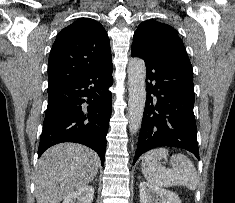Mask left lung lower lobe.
Segmentation results:
<instances>
[{
    "instance_id": "obj_1",
    "label": "left lung lower lobe",
    "mask_w": 235,
    "mask_h": 203,
    "mask_svg": "<svg viewBox=\"0 0 235 203\" xmlns=\"http://www.w3.org/2000/svg\"><path fill=\"white\" fill-rule=\"evenodd\" d=\"M131 54L144 59L147 70V99L133 164L141 154L160 146L183 148L199 159L193 74L136 49Z\"/></svg>"
}]
</instances>
